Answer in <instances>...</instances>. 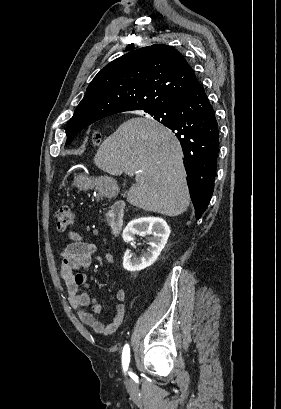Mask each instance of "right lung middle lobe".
Listing matches in <instances>:
<instances>
[{
    "label": "right lung middle lobe",
    "mask_w": 281,
    "mask_h": 409,
    "mask_svg": "<svg viewBox=\"0 0 281 409\" xmlns=\"http://www.w3.org/2000/svg\"><path fill=\"white\" fill-rule=\"evenodd\" d=\"M158 122L160 123H164V121H162L161 119H156ZM86 126L83 127H66V134H67V142L66 144H69L72 142V140L74 139L75 135L81 131L82 129H84Z\"/></svg>",
    "instance_id": "right-lung-middle-lobe-1"
}]
</instances>
